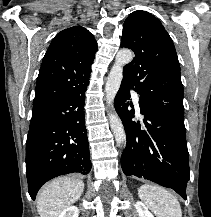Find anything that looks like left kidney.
<instances>
[{
  "mask_svg": "<svg viewBox=\"0 0 211 217\" xmlns=\"http://www.w3.org/2000/svg\"><path fill=\"white\" fill-rule=\"evenodd\" d=\"M135 208L139 217H154L142 202H136Z\"/></svg>",
  "mask_w": 211,
  "mask_h": 217,
  "instance_id": "1",
  "label": "left kidney"
}]
</instances>
